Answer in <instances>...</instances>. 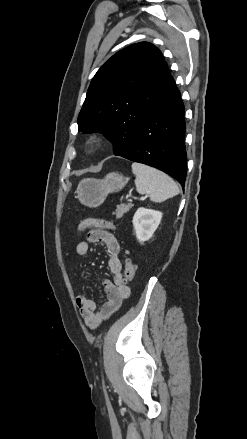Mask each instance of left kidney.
I'll use <instances>...</instances> for the list:
<instances>
[{
	"instance_id": "obj_1",
	"label": "left kidney",
	"mask_w": 247,
	"mask_h": 439,
	"mask_svg": "<svg viewBox=\"0 0 247 439\" xmlns=\"http://www.w3.org/2000/svg\"><path fill=\"white\" fill-rule=\"evenodd\" d=\"M162 219V213L152 209L138 208L133 217L137 240L142 244L149 240Z\"/></svg>"
}]
</instances>
